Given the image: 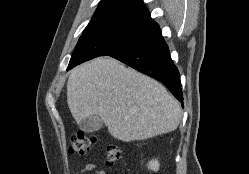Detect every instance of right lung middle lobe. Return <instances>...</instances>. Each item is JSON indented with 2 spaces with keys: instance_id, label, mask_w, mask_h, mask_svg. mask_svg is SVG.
<instances>
[{
  "instance_id": "right-lung-middle-lobe-1",
  "label": "right lung middle lobe",
  "mask_w": 249,
  "mask_h": 174,
  "mask_svg": "<svg viewBox=\"0 0 249 174\" xmlns=\"http://www.w3.org/2000/svg\"><path fill=\"white\" fill-rule=\"evenodd\" d=\"M151 28L115 25L101 30H84L71 56L67 70L99 56H111L143 42Z\"/></svg>"
}]
</instances>
